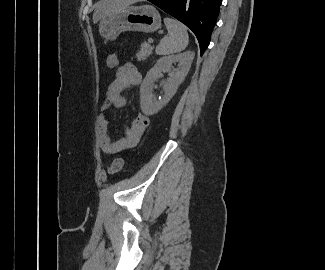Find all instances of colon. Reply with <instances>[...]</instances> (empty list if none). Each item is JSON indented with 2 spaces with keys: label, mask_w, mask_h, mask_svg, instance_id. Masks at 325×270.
I'll use <instances>...</instances> for the list:
<instances>
[{
  "label": "colon",
  "mask_w": 325,
  "mask_h": 270,
  "mask_svg": "<svg viewBox=\"0 0 325 270\" xmlns=\"http://www.w3.org/2000/svg\"><path fill=\"white\" fill-rule=\"evenodd\" d=\"M106 65L109 69H114L118 65V57L115 53H110L106 59ZM124 164L123 158L115 159L112 164L109 166L108 171L110 173H117L119 172Z\"/></svg>",
  "instance_id": "obj_1"
}]
</instances>
